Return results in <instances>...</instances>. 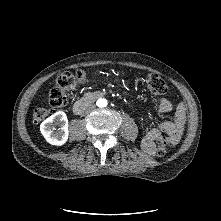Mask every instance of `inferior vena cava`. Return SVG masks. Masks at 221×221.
<instances>
[{
	"mask_svg": "<svg viewBox=\"0 0 221 221\" xmlns=\"http://www.w3.org/2000/svg\"><path fill=\"white\" fill-rule=\"evenodd\" d=\"M95 109V105L94 104H91L87 107L86 109V112H90V111H93Z\"/></svg>",
	"mask_w": 221,
	"mask_h": 221,
	"instance_id": "inferior-vena-cava-1",
	"label": "inferior vena cava"
}]
</instances>
